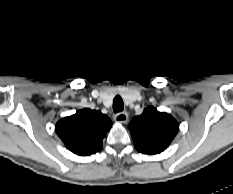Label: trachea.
<instances>
[{
  "mask_svg": "<svg viewBox=\"0 0 233 194\" xmlns=\"http://www.w3.org/2000/svg\"><path fill=\"white\" fill-rule=\"evenodd\" d=\"M124 109V103L120 96H116L113 100V111L114 113H118L123 111Z\"/></svg>",
  "mask_w": 233,
  "mask_h": 194,
  "instance_id": "obj_1",
  "label": "trachea"
}]
</instances>
